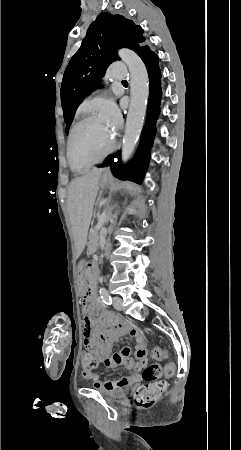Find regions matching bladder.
Here are the masks:
<instances>
[{
    "label": "bladder",
    "instance_id": "31cf9c89",
    "mask_svg": "<svg viewBox=\"0 0 241 450\" xmlns=\"http://www.w3.org/2000/svg\"><path fill=\"white\" fill-rule=\"evenodd\" d=\"M111 396H115V397H120L121 394L120 393H110Z\"/></svg>",
    "mask_w": 241,
    "mask_h": 450
}]
</instances>
